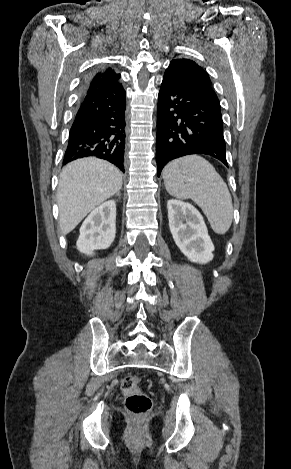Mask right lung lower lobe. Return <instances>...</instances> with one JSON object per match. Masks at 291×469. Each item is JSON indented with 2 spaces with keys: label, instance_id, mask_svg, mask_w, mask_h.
Returning <instances> with one entry per match:
<instances>
[{
  "label": "right lung lower lobe",
  "instance_id": "right-lung-lower-lobe-1",
  "mask_svg": "<svg viewBox=\"0 0 291 469\" xmlns=\"http://www.w3.org/2000/svg\"><path fill=\"white\" fill-rule=\"evenodd\" d=\"M88 79L83 84L86 87ZM126 98L123 87L82 92L63 164L96 156L124 172Z\"/></svg>",
  "mask_w": 291,
  "mask_h": 469
}]
</instances>
